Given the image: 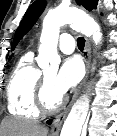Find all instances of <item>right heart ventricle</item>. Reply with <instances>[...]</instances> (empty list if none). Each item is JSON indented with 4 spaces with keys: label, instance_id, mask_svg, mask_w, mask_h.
<instances>
[{
    "label": "right heart ventricle",
    "instance_id": "e07e8e85",
    "mask_svg": "<svg viewBox=\"0 0 117 136\" xmlns=\"http://www.w3.org/2000/svg\"><path fill=\"white\" fill-rule=\"evenodd\" d=\"M40 80L41 71L33 63V54L28 52L20 58L7 84V104L11 114L25 118L39 116L35 95Z\"/></svg>",
    "mask_w": 117,
    "mask_h": 136
}]
</instances>
